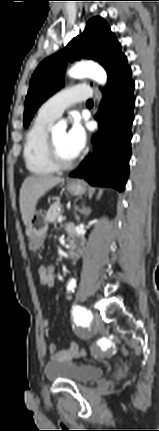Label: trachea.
Wrapping results in <instances>:
<instances>
[{
    "label": "trachea",
    "mask_w": 159,
    "mask_h": 431,
    "mask_svg": "<svg viewBox=\"0 0 159 431\" xmlns=\"http://www.w3.org/2000/svg\"><path fill=\"white\" fill-rule=\"evenodd\" d=\"M87 104L92 105V104H93V100H92V99L88 100V101H87Z\"/></svg>",
    "instance_id": "1"
}]
</instances>
